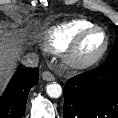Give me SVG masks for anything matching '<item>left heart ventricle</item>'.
Here are the masks:
<instances>
[{
	"mask_svg": "<svg viewBox=\"0 0 118 118\" xmlns=\"http://www.w3.org/2000/svg\"><path fill=\"white\" fill-rule=\"evenodd\" d=\"M104 45V36L100 32L89 35L82 43L79 58L87 59L95 56Z\"/></svg>",
	"mask_w": 118,
	"mask_h": 118,
	"instance_id": "1",
	"label": "left heart ventricle"
}]
</instances>
